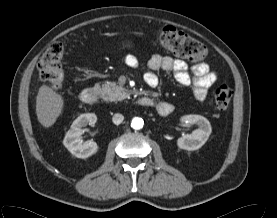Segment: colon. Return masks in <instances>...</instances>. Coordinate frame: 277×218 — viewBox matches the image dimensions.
I'll use <instances>...</instances> for the list:
<instances>
[{"instance_id":"obj_1","label":"colon","mask_w":277,"mask_h":218,"mask_svg":"<svg viewBox=\"0 0 277 218\" xmlns=\"http://www.w3.org/2000/svg\"><path fill=\"white\" fill-rule=\"evenodd\" d=\"M156 38L163 49L176 56L191 61H201L206 57V47L200 41L175 28H161ZM64 50L62 42H54L46 49L38 62L41 80L53 88L61 87L64 81L62 68ZM232 96L233 90L230 86L225 84L218 86L214 91L216 109L226 110L231 103Z\"/></svg>"}]
</instances>
